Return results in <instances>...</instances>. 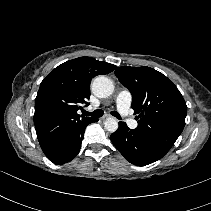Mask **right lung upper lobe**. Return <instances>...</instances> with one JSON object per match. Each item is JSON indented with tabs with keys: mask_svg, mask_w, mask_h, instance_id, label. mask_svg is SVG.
Here are the masks:
<instances>
[{
	"mask_svg": "<svg viewBox=\"0 0 211 211\" xmlns=\"http://www.w3.org/2000/svg\"><path fill=\"white\" fill-rule=\"evenodd\" d=\"M115 68L107 62L80 57L59 65L41 82L35 100L34 124L43 151L75 128L93 120L80 117L77 111L90 97L92 78Z\"/></svg>",
	"mask_w": 211,
	"mask_h": 211,
	"instance_id": "1",
	"label": "right lung upper lobe"
}]
</instances>
